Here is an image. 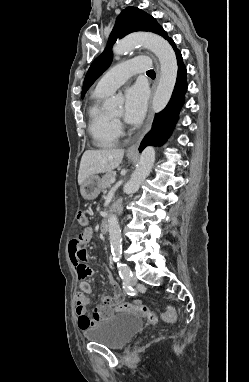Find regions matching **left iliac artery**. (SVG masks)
Returning <instances> with one entry per match:
<instances>
[{
    "instance_id": "obj_1",
    "label": "left iliac artery",
    "mask_w": 249,
    "mask_h": 382,
    "mask_svg": "<svg viewBox=\"0 0 249 382\" xmlns=\"http://www.w3.org/2000/svg\"><path fill=\"white\" fill-rule=\"evenodd\" d=\"M121 252H112L113 260L117 263L119 268V275L124 281H128L132 277V271L130 267L125 263H119Z\"/></svg>"
}]
</instances>
